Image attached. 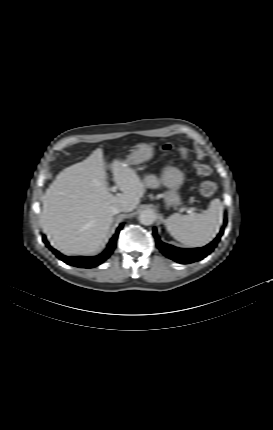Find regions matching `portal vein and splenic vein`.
<instances>
[{"label": "portal vein and splenic vein", "mask_w": 273, "mask_h": 430, "mask_svg": "<svg viewBox=\"0 0 273 430\" xmlns=\"http://www.w3.org/2000/svg\"><path fill=\"white\" fill-rule=\"evenodd\" d=\"M116 190H117V186H113L110 188V191H112V192H116ZM193 210H194L193 208H190L188 212L191 213V212H193Z\"/></svg>", "instance_id": "obj_1"}]
</instances>
